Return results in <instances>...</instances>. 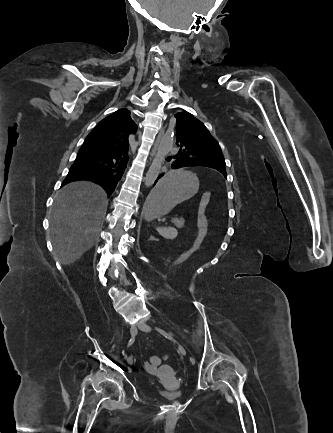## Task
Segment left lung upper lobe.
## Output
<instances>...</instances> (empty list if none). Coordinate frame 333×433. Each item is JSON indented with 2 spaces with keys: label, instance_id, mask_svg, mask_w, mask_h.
<instances>
[{
  "label": "left lung upper lobe",
  "instance_id": "obj_1",
  "mask_svg": "<svg viewBox=\"0 0 333 433\" xmlns=\"http://www.w3.org/2000/svg\"><path fill=\"white\" fill-rule=\"evenodd\" d=\"M176 144L180 147L177 169L203 166L217 169L226 177V164L219 144L203 123L188 112L175 114Z\"/></svg>",
  "mask_w": 333,
  "mask_h": 433
}]
</instances>
